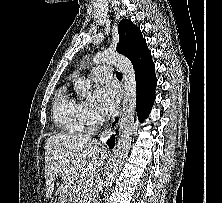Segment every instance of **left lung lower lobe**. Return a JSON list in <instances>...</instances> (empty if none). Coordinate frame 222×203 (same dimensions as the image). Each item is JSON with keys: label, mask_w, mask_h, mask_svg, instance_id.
<instances>
[{"label": "left lung lower lobe", "mask_w": 222, "mask_h": 203, "mask_svg": "<svg viewBox=\"0 0 222 203\" xmlns=\"http://www.w3.org/2000/svg\"><path fill=\"white\" fill-rule=\"evenodd\" d=\"M136 78V111L139 121H143L149 115L154 100L156 88L155 65L152 61L151 52L146 42L138 50L131 60Z\"/></svg>", "instance_id": "obj_1"}]
</instances>
